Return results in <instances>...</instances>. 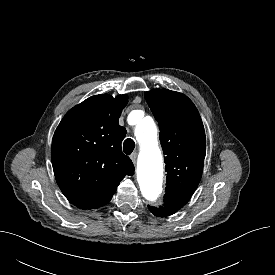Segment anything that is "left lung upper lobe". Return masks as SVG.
<instances>
[{
    "instance_id": "obj_1",
    "label": "left lung upper lobe",
    "mask_w": 275,
    "mask_h": 275,
    "mask_svg": "<svg viewBox=\"0 0 275 275\" xmlns=\"http://www.w3.org/2000/svg\"><path fill=\"white\" fill-rule=\"evenodd\" d=\"M145 98L159 122L165 154L166 194L191 197L202 176L206 136L199 112L184 94L154 89Z\"/></svg>"
}]
</instances>
